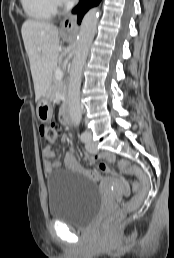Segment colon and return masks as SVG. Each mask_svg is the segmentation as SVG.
Segmentation results:
<instances>
[{
    "label": "colon",
    "mask_w": 174,
    "mask_h": 258,
    "mask_svg": "<svg viewBox=\"0 0 174 258\" xmlns=\"http://www.w3.org/2000/svg\"><path fill=\"white\" fill-rule=\"evenodd\" d=\"M40 135L47 146H53L58 141L62 129L56 122H43L39 127ZM119 168L126 174L135 176L137 180L134 183L135 194L124 204L122 210L116 211L108 215L102 222V231L105 236L111 237L115 235L120 227L124 214L134 210L142 202L147 194L149 181L147 175L137 166L128 160H121Z\"/></svg>",
    "instance_id": "obj_1"
}]
</instances>
